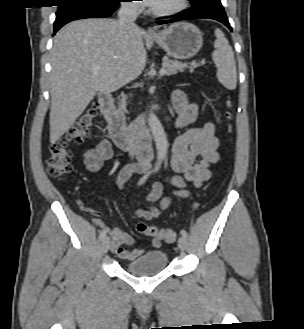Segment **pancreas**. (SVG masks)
Returning <instances> with one entry per match:
<instances>
[{"mask_svg":"<svg viewBox=\"0 0 304 329\" xmlns=\"http://www.w3.org/2000/svg\"><path fill=\"white\" fill-rule=\"evenodd\" d=\"M163 65L166 67V74L167 75H174L178 71H183L185 68L188 67L187 63H182L176 60L169 59L168 57H164ZM200 66L199 63H191L189 69L191 72L194 71L196 67ZM120 109L123 112H126V101L123 99L120 104Z\"/></svg>","mask_w":304,"mask_h":329,"instance_id":"cf45deb5","label":"pancreas"}]
</instances>
